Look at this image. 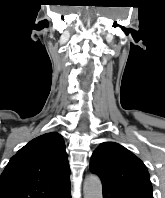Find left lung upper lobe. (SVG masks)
Segmentation results:
<instances>
[{
  "mask_svg": "<svg viewBox=\"0 0 165 198\" xmlns=\"http://www.w3.org/2000/svg\"><path fill=\"white\" fill-rule=\"evenodd\" d=\"M90 170L100 177L103 185L129 198H153L146 166L120 144H100L91 157Z\"/></svg>",
  "mask_w": 165,
  "mask_h": 198,
  "instance_id": "5c2ea615",
  "label": "left lung upper lobe"
}]
</instances>
